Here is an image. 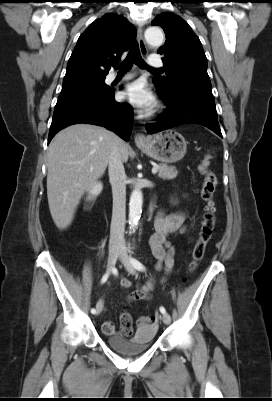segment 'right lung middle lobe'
Returning <instances> with one entry per match:
<instances>
[{"mask_svg":"<svg viewBox=\"0 0 272 401\" xmlns=\"http://www.w3.org/2000/svg\"><path fill=\"white\" fill-rule=\"evenodd\" d=\"M110 90L111 88L105 85L104 80L96 81L76 88L62 90L58 97L57 104L71 101L78 97L103 96Z\"/></svg>","mask_w":272,"mask_h":401,"instance_id":"dd1d6c3e","label":"right lung middle lobe"}]
</instances>
